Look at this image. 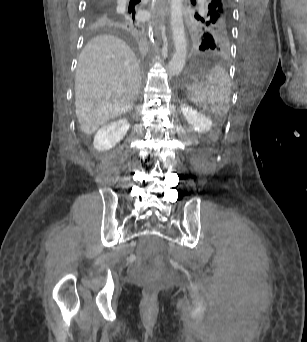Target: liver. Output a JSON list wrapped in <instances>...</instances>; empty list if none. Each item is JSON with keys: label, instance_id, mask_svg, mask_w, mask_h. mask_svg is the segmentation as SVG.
Instances as JSON below:
<instances>
[{"label": "liver", "instance_id": "obj_1", "mask_svg": "<svg viewBox=\"0 0 307 342\" xmlns=\"http://www.w3.org/2000/svg\"><path fill=\"white\" fill-rule=\"evenodd\" d=\"M74 88L77 120L91 136L132 108L141 88L139 62L120 38L96 36L80 54Z\"/></svg>", "mask_w": 307, "mask_h": 342}]
</instances>
